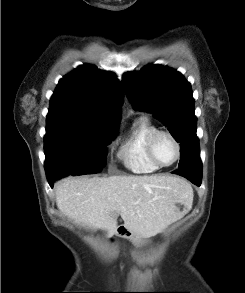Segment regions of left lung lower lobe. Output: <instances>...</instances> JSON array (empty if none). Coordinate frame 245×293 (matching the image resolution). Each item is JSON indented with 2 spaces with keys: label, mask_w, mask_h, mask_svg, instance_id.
Here are the masks:
<instances>
[{
  "label": "left lung lower lobe",
  "mask_w": 245,
  "mask_h": 293,
  "mask_svg": "<svg viewBox=\"0 0 245 293\" xmlns=\"http://www.w3.org/2000/svg\"><path fill=\"white\" fill-rule=\"evenodd\" d=\"M172 173L178 174V175H181V176L187 178L188 180H190L192 183H194L197 186L201 185L202 172H194V171L187 170V169H177V170L173 171Z\"/></svg>",
  "instance_id": "left-lung-lower-lobe-1"
}]
</instances>
